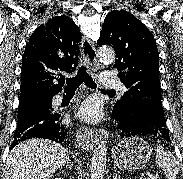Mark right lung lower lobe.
<instances>
[{
    "label": "right lung lower lobe",
    "mask_w": 183,
    "mask_h": 179,
    "mask_svg": "<svg viewBox=\"0 0 183 179\" xmlns=\"http://www.w3.org/2000/svg\"><path fill=\"white\" fill-rule=\"evenodd\" d=\"M56 93H43L42 100L32 104L25 114L18 118L11 148L34 137L50 139L57 143L64 141L67 130L61 123V115L51 111L52 98Z\"/></svg>",
    "instance_id": "right-lung-lower-lobe-1"
}]
</instances>
